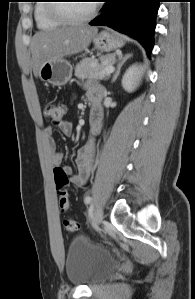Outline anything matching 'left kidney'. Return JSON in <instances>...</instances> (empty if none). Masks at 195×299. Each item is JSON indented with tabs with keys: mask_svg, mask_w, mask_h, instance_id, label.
Instances as JSON below:
<instances>
[{
	"mask_svg": "<svg viewBox=\"0 0 195 299\" xmlns=\"http://www.w3.org/2000/svg\"><path fill=\"white\" fill-rule=\"evenodd\" d=\"M140 66L134 64L130 66L123 78H122V86L127 92L134 91L140 82Z\"/></svg>",
	"mask_w": 195,
	"mask_h": 299,
	"instance_id": "left-kidney-1",
	"label": "left kidney"
}]
</instances>
